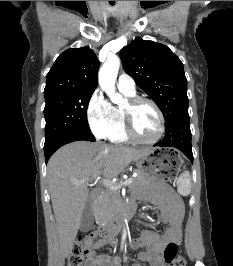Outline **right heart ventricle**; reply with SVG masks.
<instances>
[{
  "label": "right heart ventricle",
  "instance_id": "right-heart-ventricle-1",
  "mask_svg": "<svg viewBox=\"0 0 233 266\" xmlns=\"http://www.w3.org/2000/svg\"><path fill=\"white\" fill-rule=\"evenodd\" d=\"M121 91V90H120ZM124 95L128 97H134L135 93H126L124 91H121ZM114 114L116 117V120L118 122V129L117 131L109 138L111 141L116 142V143H122L128 141V136L126 134L125 130V123H124V118L122 114V109L119 107H113Z\"/></svg>",
  "mask_w": 233,
  "mask_h": 266
}]
</instances>
